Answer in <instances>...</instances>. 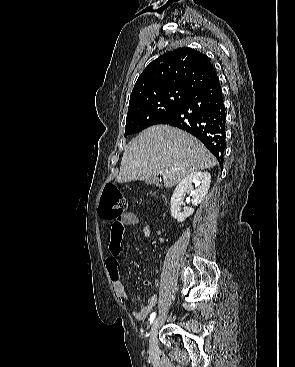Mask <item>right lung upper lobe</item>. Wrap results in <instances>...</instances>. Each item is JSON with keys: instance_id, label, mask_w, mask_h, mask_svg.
<instances>
[{"instance_id": "right-lung-upper-lobe-1", "label": "right lung upper lobe", "mask_w": 295, "mask_h": 367, "mask_svg": "<svg viewBox=\"0 0 295 367\" xmlns=\"http://www.w3.org/2000/svg\"><path fill=\"white\" fill-rule=\"evenodd\" d=\"M218 79L206 55L192 48H179L152 61L139 76L129 106L142 98L167 91L196 92Z\"/></svg>"}]
</instances>
